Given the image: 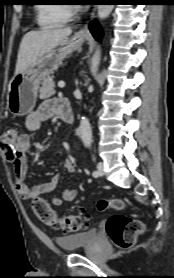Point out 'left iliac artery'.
Here are the masks:
<instances>
[{"label": "left iliac artery", "instance_id": "obj_1", "mask_svg": "<svg viewBox=\"0 0 174 278\" xmlns=\"http://www.w3.org/2000/svg\"><path fill=\"white\" fill-rule=\"evenodd\" d=\"M93 176H94V177H97V176H98V172H97V171H94V172H93Z\"/></svg>", "mask_w": 174, "mask_h": 278}]
</instances>
